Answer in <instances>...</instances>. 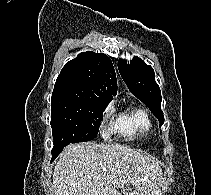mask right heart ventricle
<instances>
[{"mask_svg": "<svg viewBox=\"0 0 211 195\" xmlns=\"http://www.w3.org/2000/svg\"><path fill=\"white\" fill-rule=\"evenodd\" d=\"M152 129V120L146 110L132 107L118 115L114 131L127 139L145 137Z\"/></svg>", "mask_w": 211, "mask_h": 195, "instance_id": "1", "label": "right heart ventricle"}]
</instances>
